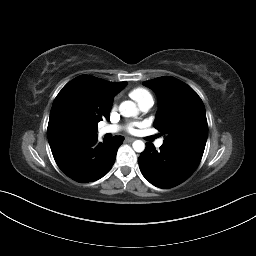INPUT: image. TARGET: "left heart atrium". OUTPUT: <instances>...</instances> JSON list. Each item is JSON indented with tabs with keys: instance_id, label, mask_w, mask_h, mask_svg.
Wrapping results in <instances>:
<instances>
[{
	"instance_id": "obj_1",
	"label": "left heart atrium",
	"mask_w": 256,
	"mask_h": 256,
	"mask_svg": "<svg viewBox=\"0 0 256 256\" xmlns=\"http://www.w3.org/2000/svg\"><path fill=\"white\" fill-rule=\"evenodd\" d=\"M137 125L136 124H130L128 127H127V131L130 132V133H133L135 131V127Z\"/></svg>"
}]
</instances>
